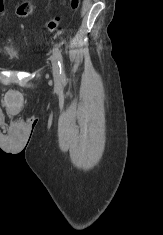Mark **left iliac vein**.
<instances>
[{"label": "left iliac vein", "mask_w": 163, "mask_h": 235, "mask_svg": "<svg viewBox=\"0 0 163 235\" xmlns=\"http://www.w3.org/2000/svg\"><path fill=\"white\" fill-rule=\"evenodd\" d=\"M51 64H52V72L55 82H60V73H59V67L55 56H52L51 58Z\"/></svg>", "instance_id": "1"}]
</instances>
